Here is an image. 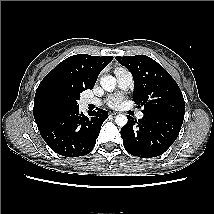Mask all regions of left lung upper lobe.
<instances>
[{
	"label": "left lung upper lobe",
	"instance_id": "5c2ea615",
	"mask_svg": "<svg viewBox=\"0 0 214 214\" xmlns=\"http://www.w3.org/2000/svg\"><path fill=\"white\" fill-rule=\"evenodd\" d=\"M130 70L134 79L133 100L144 106V115L184 119L182 92L171 75L146 55L115 57Z\"/></svg>",
	"mask_w": 214,
	"mask_h": 214
}]
</instances>
